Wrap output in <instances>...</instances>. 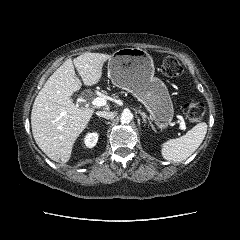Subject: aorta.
Returning <instances> with one entry per match:
<instances>
[{
    "mask_svg": "<svg viewBox=\"0 0 240 240\" xmlns=\"http://www.w3.org/2000/svg\"><path fill=\"white\" fill-rule=\"evenodd\" d=\"M132 119H133V114L130 111L126 110L122 112L120 117V121L122 124H128L132 121Z\"/></svg>",
    "mask_w": 240,
    "mask_h": 240,
    "instance_id": "1",
    "label": "aorta"
}]
</instances>
